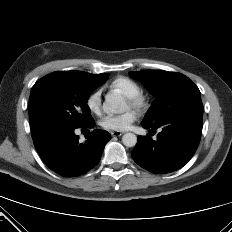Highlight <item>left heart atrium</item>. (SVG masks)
<instances>
[{"instance_id":"obj_1","label":"left heart atrium","mask_w":232,"mask_h":232,"mask_svg":"<svg viewBox=\"0 0 232 232\" xmlns=\"http://www.w3.org/2000/svg\"><path fill=\"white\" fill-rule=\"evenodd\" d=\"M137 114L133 110H128L118 115H108L101 121V126L109 131H126L131 128L136 120Z\"/></svg>"}]
</instances>
